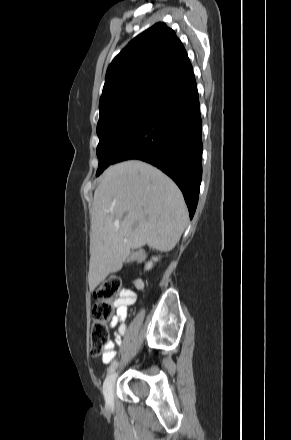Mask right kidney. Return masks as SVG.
<instances>
[{"label": "right kidney", "mask_w": 291, "mask_h": 440, "mask_svg": "<svg viewBox=\"0 0 291 440\" xmlns=\"http://www.w3.org/2000/svg\"><path fill=\"white\" fill-rule=\"evenodd\" d=\"M153 260L154 261H157L158 259L157 258H153ZM151 267H152V261H150V262H148L147 264H146V269H151Z\"/></svg>", "instance_id": "1"}]
</instances>
